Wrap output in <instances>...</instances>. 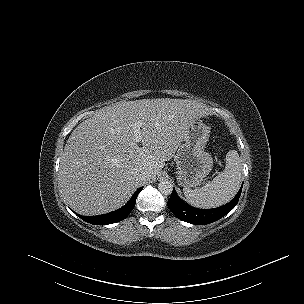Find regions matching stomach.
<instances>
[{
    "mask_svg": "<svg viewBox=\"0 0 304 304\" xmlns=\"http://www.w3.org/2000/svg\"><path fill=\"white\" fill-rule=\"evenodd\" d=\"M210 137V127L202 121H194L186 130L184 141L175 155L176 177L185 188L201 184L213 167V158L205 151Z\"/></svg>",
    "mask_w": 304,
    "mask_h": 304,
    "instance_id": "stomach-1",
    "label": "stomach"
}]
</instances>
